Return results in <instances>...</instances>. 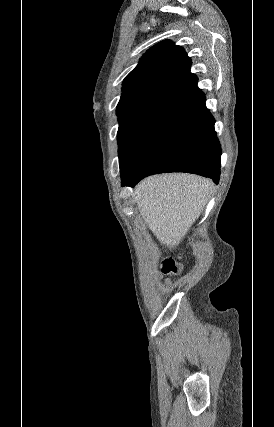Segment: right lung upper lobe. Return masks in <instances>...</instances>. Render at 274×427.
<instances>
[{"mask_svg":"<svg viewBox=\"0 0 274 427\" xmlns=\"http://www.w3.org/2000/svg\"><path fill=\"white\" fill-rule=\"evenodd\" d=\"M190 66L184 49L171 41L151 47L124 79L117 108L151 98L174 105L191 98L201 90Z\"/></svg>","mask_w":274,"mask_h":427,"instance_id":"cb5924a9","label":"right lung upper lobe"}]
</instances>
